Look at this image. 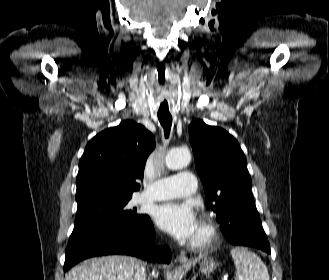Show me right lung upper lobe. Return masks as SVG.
Instances as JSON below:
<instances>
[{
	"label": "right lung upper lobe",
	"mask_w": 329,
	"mask_h": 280,
	"mask_svg": "<svg viewBox=\"0 0 329 280\" xmlns=\"http://www.w3.org/2000/svg\"><path fill=\"white\" fill-rule=\"evenodd\" d=\"M153 135L132 120L108 128L89 141L79 162L76 199L91 195L132 197L139 190Z\"/></svg>",
	"instance_id": "right-lung-upper-lobe-1"
}]
</instances>
